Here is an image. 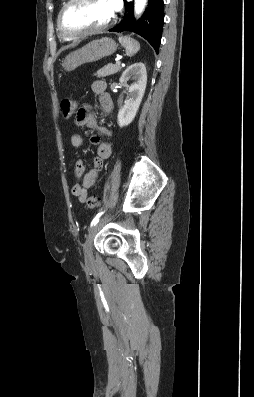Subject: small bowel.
I'll use <instances>...</instances> for the list:
<instances>
[{
  "instance_id": "obj_1",
  "label": "small bowel",
  "mask_w": 254,
  "mask_h": 397,
  "mask_svg": "<svg viewBox=\"0 0 254 397\" xmlns=\"http://www.w3.org/2000/svg\"><path fill=\"white\" fill-rule=\"evenodd\" d=\"M107 84L104 80H96L92 83L91 89L94 94L98 95L100 106L105 114H110L113 109V101L111 96L106 92ZM75 125L78 128L88 127L98 130L101 134L109 136L110 130L100 125L95 117L91 105L83 104L77 111L75 117ZM71 145L77 149L84 147V141L80 134L75 133L70 138ZM90 142L97 146V156L93 158L92 168L85 172L83 160L79 159L75 164V176L81 180L72 187L73 197L84 202L90 189L94 186L99 173L101 172L104 161L111 155V146L108 142L102 141L99 136L93 135Z\"/></svg>"
}]
</instances>
